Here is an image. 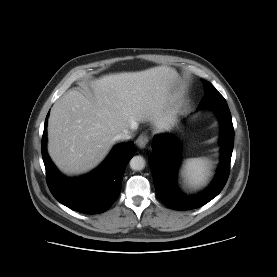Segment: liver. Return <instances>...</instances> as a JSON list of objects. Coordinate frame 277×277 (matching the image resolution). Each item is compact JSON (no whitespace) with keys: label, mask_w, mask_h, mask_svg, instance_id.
I'll return each instance as SVG.
<instances>
[{"label":"liver","mask_w":277,"mask_h":277,"mask_svg":"<svg viewBox=\"0 0 277 277\" xmlns=\"http://www.w3.org/2000/svg\"><path fill=\"white\" fill-rule=\"evenodd\" d=\"M175 69L105 75L91 94L70 90L53 105L48 120V153L65 174L86 173L111 150L115 136L150 121L160 125L180 99Z\"/></svg>","instance_id":"liver-1"}]
</instances>
